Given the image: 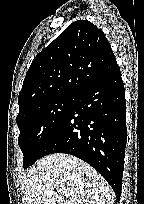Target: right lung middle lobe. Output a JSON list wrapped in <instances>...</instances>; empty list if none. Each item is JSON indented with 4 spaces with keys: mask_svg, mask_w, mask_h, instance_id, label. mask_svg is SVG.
Returning <instances> with one entry per match:
<instances>
[{
    "mask_svg": "<svg viewBox=\"0 0 144 204\" xmlns=\"http://www.w3.org/2000/svg\"><path fill=\"white\" fill-rule=\"evenodd\" d=\"M75 96L58 95L52 97L17 116L16 122L20 130L18 144L24 155V168H28L41 158L46 142L68 115Z\"/></svg>",
    "mask_w": 144,
    "mask_h": 204,
    "instance_id": "dd1d6c3e",
    "label": "right lung middle lobe"
}]
</instances>
